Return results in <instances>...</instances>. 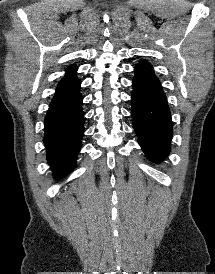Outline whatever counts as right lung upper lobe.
<instances>
[{"instance_id":"obj_1","label":"right lung upper lobe","mask_w":215,"mask_h":274,"mask_svg":"<svg viewBox=\"0 0 215 274\" xmlns=\"http://www.w3.org/2000/svg\"><path fill=\"white\" fill-rule=\"evenodd\" d=\"M77 67L75 65L70 66L66 70V74L63 79L59 82L55 95L52 99V102L61 100L64 97H67L72 92L80 87V80L76 77Z\"/></svg>"}]
</instances>
